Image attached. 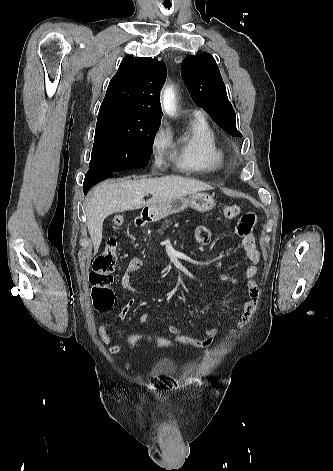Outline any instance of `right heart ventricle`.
I'll return each mask as SVG.
<instances>
[{
    "label": "right heart ventricle",
    "instance_id": "obj_1",
    "mask_svg": "<svg viewBox=\"0 0 333 471\" xmlns=\"http://www.w3.org/2000/svg\"><path fill=\"white\" fill-rule=\"evenodd\" d=\"M173 157L183 170L193 172L220 168L225 151L212 126L202 116H196L173 147Z\"/></svg>",
    "mask_w": 333,
    "mask_h": 471
}]
</instances>
